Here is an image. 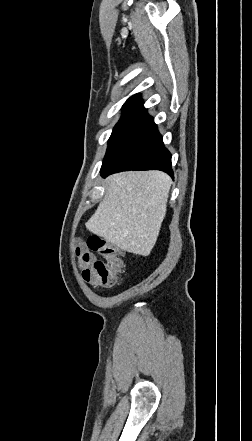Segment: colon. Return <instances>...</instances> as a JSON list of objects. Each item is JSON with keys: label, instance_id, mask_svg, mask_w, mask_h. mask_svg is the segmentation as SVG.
<instances>
[{"label": "colon", "instance_id": "obj_1", "mask_svg": "<svg viewBox=\"0 0 252 441\" xmlns=\"http://www.w3.org/2000/svg\"><path fill=\"white\" fill-rule=\"evenodd\" d=\"M77 259L83 279L95 286L110 287L117 283L124 268L122 251L97 235L77 246ZM95 254L102 259H97Z\"/></svg>", "mask_w": 252, "mask_h": 441}]
</instances>
